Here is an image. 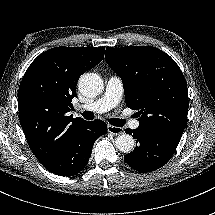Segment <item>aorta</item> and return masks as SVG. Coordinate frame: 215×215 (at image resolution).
<instances>
[{
    "mask_svg": "<svg viewBox=\"0 0 215 215\" xmlns=\"http://www.w3.org/2000/svg\"><path fill=\"white\" fill-rule=\"evenodd\" d=\"M79 88L87 97H96L102 91L101 79L93 73H84L79 78ZM116 148L123 153H130L135 148L134 138L129 134H122L115 139Z\"/></svg>",
    "mask_w": 215,
    "mask_h": 215,
    "instance_id": "obj_1",
    "label": "aorta"
}]
</instances>
